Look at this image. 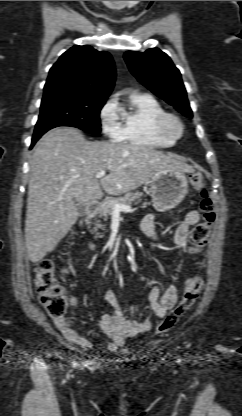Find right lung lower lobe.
<instances>
[{"instance_id": "1", "label": "right lung lower lobe", "mask_w": 242, "mask_h": 416, "mask_svg": "<svg viewBox=\"0 0 242 416\" xmlns=\"http://www.w3.org/2000/svg\"><path fill=\"white\" fill-rule=\"evenodd\" d=\"M42 135H38V136H33V138H32V143H31V146H30V148H32L33 147V145L35 144V142L41 137Z\"/></svg>"}]
</instances>
